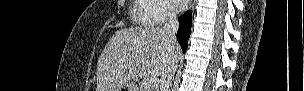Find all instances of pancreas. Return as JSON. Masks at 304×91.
Returning <instances> with one entry per match:
<instances>
[{
	"label": "pancreas",
	"mask_w": 304,
	"mask_h": 91,
	"mask_svg": "<svg viewBox=\"0 0 304 91\" xmlns=\"http://www.w3.org/2000/svg\"><path fill=\"white\" fill-rule=\"evenodd\" d=\"M140 91H152V88H149L144 83H141V85H140Z\"/></svg>",
	"instance_id": "obj_1"
}]
</instances>
